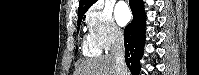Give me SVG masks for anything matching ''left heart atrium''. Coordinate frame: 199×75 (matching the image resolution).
<instances>
[{"instance_id":"obj_1","label":"left heart atrium","mask_w":199,"mask_h":75,"mask_svg":"<svg viewBox=\"0 0 199 75\" xmlns=\"http://www.w3.org/2000/svg\"><path fill=\"white\" fill-rule=\"evenodd\" d=\"M115 17L120 25H125L130 19V11L124 2L118 3L115 8Z\"/></svg>"}]
</instances>
